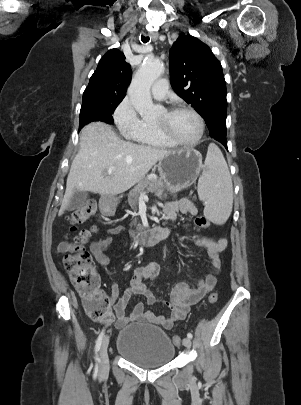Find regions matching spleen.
<instances>
[{
  "instance_id": "obj_1",
  "label": "spleen",
  "mask_w": 301,
  "mask_h": 405,
  "mask_svg": "<svg viewBox=\"0 0 301 405\" xmlns=\"http://www.w3.org/2000/svg\"><path fill=\"white\" fill-rule=\"evenodd\" d=\"M206 169L198 182V192L205 200V215L216 224H224L232 211L233 186L225 158L215 144L208 147Z\"/></svg>"
}]
</instances>
